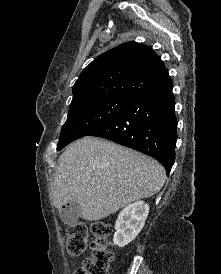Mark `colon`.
I'll return each instance as SVG.
<instances>
[{
    "mask_svg": "<svg viewBox=\"0 0 221 274\" xmlns=\"http://www.w3.org/2000/svg\"><path fill=\"white\" fill-rule=\"evenodd\" d=\"M92 242L90 255L75 274H109L108 268L113 260V253L109 249L111 227L103 221L91 224ZM66 248L72 257L80 256L88 245L89 227L84 221H75L67 224Z\"/></svg>",
    "mask_w": 221,
    "mask_h": 274,
    "instance_id": "1",
    "label": "colon"
}]
</instances>
